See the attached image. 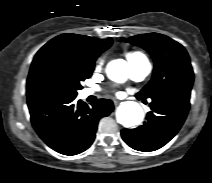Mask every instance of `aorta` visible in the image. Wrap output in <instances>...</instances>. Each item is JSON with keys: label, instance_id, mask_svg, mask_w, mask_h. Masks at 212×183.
Wrapping results in <instances>:
<instances>
[{"label": "aorta", "instance_id": "1", "mask_svg": "<svg viewBox=\"0 0 212 183\" xmlns=\"http://www.w3.org/2000/svg\"><path fill=\"white\" fill-rule=\"evenodd\" d=\"M127 70V63L124 60L117 59L108 63L106 73L110 79L120 81L126 77ZM116 116L117 121L124 127H133L142 122L144 113L138 103L126 101L121 103Z\"/></svg>", "mask_w": 212, "mask_h": 183}]
</instances>
